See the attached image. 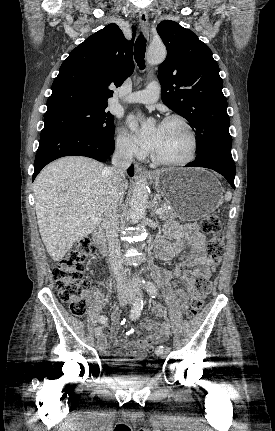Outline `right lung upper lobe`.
<instances>
[{
    "mask_svg": "<svg viewBox=\"0 0 275 431\" xmlns=\"http://www.w3.org/2000/svg\"><path fill=\"white\" fill-rule=\"evenodd\" d=\"M133 43L112 23L73 49L52 84L47 112L107 105L113 96L109 87L120 86L133 73Z\"/></svg>",
    "mask_w": 275,
    "mask_h": 431,
    "instance_id": "right-lung-upper-lobe-1",
    "label": "right lung upper lobe"
}]
</instances>
